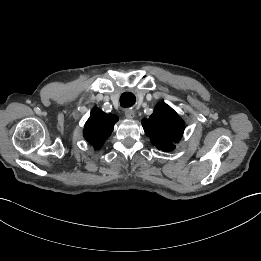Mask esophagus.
<instances>
[{
	"label": "esophagus",
	"mask_w": 261,
	"mask_h": 261,
	"mask_svg": "<svg viewBox=\"0 0 261 261\" xmlns=\"http://www.w3.org/2000/svg\"><path fill=\"white\" fill-rule=\"evenodd\" d=\"M124 114L127 119H133L135 116V112L132 109H126Z\"/></svg>",
	"instance_id": "obj_1"
}]
</instances>
